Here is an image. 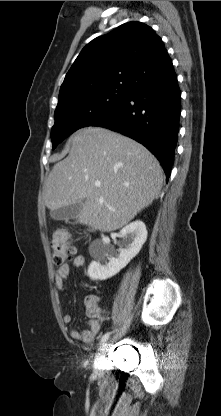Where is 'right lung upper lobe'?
I'll return each instance as SVG.
<instances>
[{"mask_svg": "<svg viewBox=\"0 0 221 416\" xmlns=\"http://www.w3.org/2000/svg\"><path fill=\"white\" fill-rule=\"evenodd\" d=\"M172 69L154 30L141 22H129L82 49L61 85L58 105L103 90H133L166 78Z\"/></svg>", "mask_w": 221, "mask_h": 416, "instance_id": "right-lung-upper-lobe-1", "label": "right lung upper lobe"}]
</instances>
